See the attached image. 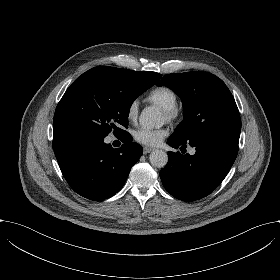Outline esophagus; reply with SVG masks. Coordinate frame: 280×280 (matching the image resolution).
Masks as SVG:
<instances>
[{"instance_id":"obj_1","label":"esophagus","mask_w":280,"mask_h":280,"mask_svg":"<svg viewBox=\"0 0 280 280\" xmlns=\"http://www.w3.org/2000/svg\"><path fill=\"white\" fill-rule=\"evenodd\" d=\"M152 150H153V149H152L151 147H144L143 153H144V154H148V153H150Z\"/></svg>"}]
</instances>
